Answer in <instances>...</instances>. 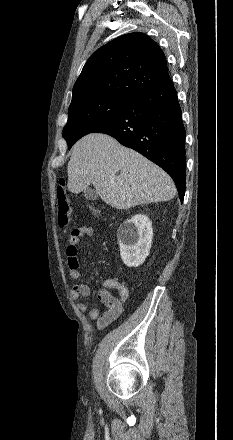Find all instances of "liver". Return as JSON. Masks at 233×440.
Instances as JSON below:
<instances>
[{"label": "liver", "instance_id": "obj_1", "mask_svg": "<svg viewBox=\"0 0 233 440\" xmlns=\"http://www.w3.org/2000/svg\"><path fill=\"white\" fill-rule=\"evenodd\" d=\"M67 171L70 192L93 184L101 199L116 209L169 201L176 194L165 171L102 133H90L74 145Z\"/></svg>", "mask_w": 233, "mask_h": 440}]
</instances>
